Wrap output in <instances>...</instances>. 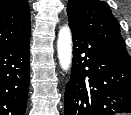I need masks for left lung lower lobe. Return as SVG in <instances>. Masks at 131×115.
<instances>
[{
	"mask_svg": "<svg viewBox=\"0 0 131 115\" xmlns=\"http://www.w3.org/2000/svg\"><path fill=\"white\" fill-rule=\"evenodd\" d=\"M73 35L65 115L131 113V65L114 57L93 36L69 24Z\"/></svg>",
	"mask_w": 131,
	"mask_h": 115,
	"instance_id": "left-lung-lower-lobe-1",
	"label": "left lung lower lobe"
}]
</instances>
